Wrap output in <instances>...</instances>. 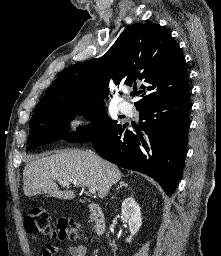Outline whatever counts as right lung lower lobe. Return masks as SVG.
Segmentation results:
<instances>
[{
    "label": "right lung lower lobe",
    "mask_w": 221,
    "mask_h": 256,
    "mask_svg": "<svg viewBox=\"0 0 221 256\" xmlns=\"http://www.w3.org/2000/svg\"><path fill=\"white\" fill-rule=\"evenodd\" d=\"M190 95L187 92L144 103L137 108L143 134H134L116 123L91 140L94 148L106 160L152 177L170 197L185 163Z\"/></svg>",
    "instance_id": "1"
}]
</instances>
